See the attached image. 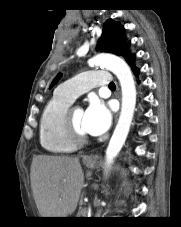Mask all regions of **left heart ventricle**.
<instances>
[{
	"label": "left heart ventricle",
	"mask_w": 181,
	"mask_h": 227,
	"mask_svg": "<svg viewBox=\"0 0 181 227\" xmlns=\"http://www.w3.org/2000/svg\"><path fill=\"white\" fill-rule=\"evenodd\" d=\"M73 121L77 129L83 133L86 134V132L83 129V116H84V111L80 108H75L73 110Z\"/></svg>",
	"instance_id": "obj_1"
}]
</instances>
